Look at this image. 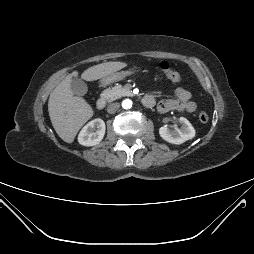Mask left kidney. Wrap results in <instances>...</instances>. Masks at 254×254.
<instances>
[{
  "label": "left kidney",
  "mask_w": 254,
  "mask_h": 254,
  "mask_svg": "<svg viewBox=\"0 0 254 254\" xmlns=\"http://www.w3.org/2000/svg\"><path fill=\"white\" fill-rule=\"evenodd\" d=\"M179 122L181 124L180 128L174 127V129H170L167 125L162 126L159 129V134L162 139L169 143L179 145L195 136V129L186 118L180 117Z\"/></svg>",
  "instance_id": "left-kidney-1"
}]
</instances>
